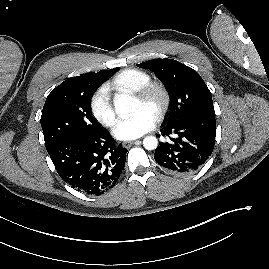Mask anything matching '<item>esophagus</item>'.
Here are the masks:
<instances>
[{"mask_svg": "<svg viewBox=\"0 0 269 269\" xmlns=\"http://www.w3.org/2000/svg\"><path fill=\"white\" fill-rule=\"evenodd\" d=\"M141 143V141L140 140H134V141H125V142H123V147H125V148H128V147H130L132 144H140Z\"/></svg>", "mask_w": 269, "mask_h": 269, "instance_id": "1", "label": "esophagus"}]
</instances>
